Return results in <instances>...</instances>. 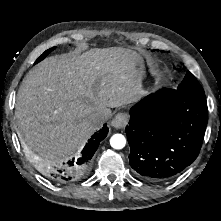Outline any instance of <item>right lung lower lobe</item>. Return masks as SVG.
Instances as JSON below:
<instances>
[{
    "mask_svg": "<svg viewBox=\"0 0 221 221\" xmlns=\"http://www.w3.org/2000/svg\"><path fill=\"white\" fill-rule=\"evenodd\" d=\"M109 129L106 124L96 132L82 150L79 157L63 164H40V171L46 177L57 182H72L81 178L88 170L90 161L99 143L107 136Z\"/></svg>",
    "mask_w": 221,
    "mask_h": 221,
    "instance_id": "obj_1",
    "label": "right lung lower lobe"
}]
</instances>
